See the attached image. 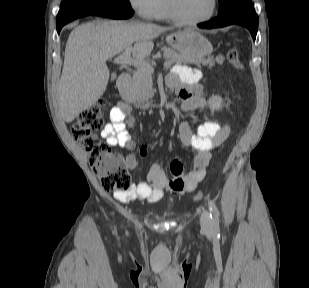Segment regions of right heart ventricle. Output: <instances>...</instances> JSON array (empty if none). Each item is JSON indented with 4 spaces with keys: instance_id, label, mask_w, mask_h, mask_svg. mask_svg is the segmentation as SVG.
<instances>
[{
    "instance_id": "e07e8e85",
    "label": "right heart ventricle",
    "mask_w": 309,
    "mask_h": 288,
    "mask_svg": "<svg viewBox=\"0 0 309 288\" xmlns=\"http://www.w3.org/2000/svg\"><path fill=\"white\" fill-rule=\"evenodd\" d=\"M156 18L158 19H169L170 18L166 10L165 0H162L159 10L156 14Z\"/></svg>"
}]
</instances>
